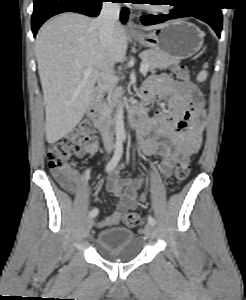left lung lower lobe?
Here are the masks:
<instances>
[{
  "label": "left lung lower lobe",
  "mask_w": 246,
  "mask_h": 300,
  "mask_svg": "<svg viewBox=\"0 0 246 300\" xmlns=\"http://www.w3.org/2000/svg\"><path fill=\"white\" fill-rule=\"evenodd\" d=\"M195 17L208 23L220 37L222 30L221 7L217 0H182L168 15L142 16L144 25H153L179 17Z\"/></svg>",
  "instance_id": "1"
}]
</instances>
